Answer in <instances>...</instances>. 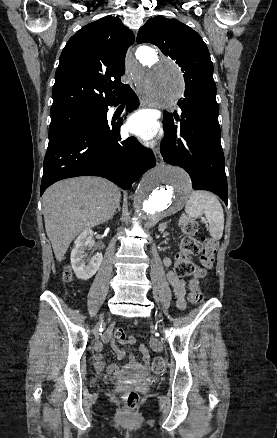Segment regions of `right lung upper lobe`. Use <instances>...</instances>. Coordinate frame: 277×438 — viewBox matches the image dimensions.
<instances>
[{"label":"right lung upper lobe","mask_w":277,"mask_h":438,"mask_svg":"<svg viewBox=\"0 0 277 438\" xmlns=\"http://www.w3.org/2000/svg\"><path fill=\"white\" fill-rule=\"evenodd\" d=\"M134 34L118 17L105 16L81 28L64 47L55 73L50 113L100 109L128 85L125 55Z\"/></svg>","instance_id":"right-lung-upper-lobe-1"}]
</instances>
